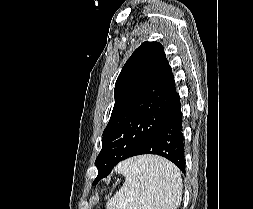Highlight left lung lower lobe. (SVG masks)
<instances>
[{
	"mask_svg": "<svg viewBox=\"0 0 253 209\" xmlns=\"http://www.w3.org/2000/svg\"><path fill=\"white\" fill-rule=\"evenodd\" d=\"M141 154H157L163 156L172 161L183 173H185L184 137L182 131L180 99L176 110L169 117L163 127L158 130L133 156ZM111 171L112 170H109L96 178L93 184H97L99 180L109 175Z\"/></svg>",
	"mask_w": 253,
	"mask_h": 209,
	"instance_id": "obj_1",
	"label": "left lung lower lobe"
}]
</instances>
